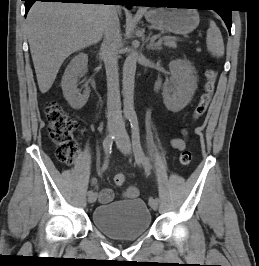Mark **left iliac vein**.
Instances as JSON below:
<instances>
[{
	"label": "left iliac vein",
	"mask_w": 259,
	"mask_h": 266,
	"mask_svg": "<svg viewBox=\"0 0 259 266\" xmlns=\"http://www.w3.org/2000/svg\"><path fill=\"white\" fill-rule=\"evenodd\" d=\"M116 144L120 148L123 154L125 155L131 154L132 152L131 143L123 121H120L118 129L116 131ZM149 205L153 210L158 209V203H156V200L149 202Z\"/></svg>",
	"instance_id": "1"
}]
</instances>
